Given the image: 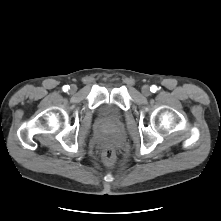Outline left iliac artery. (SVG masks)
I'll return each instance as SVG.
<instances>
[{"instance_id":"left-iliac-artery-1","label":"left iliac artery","mask_w":221,"mask_h":221,"mask_svg":"<svg viewBox=\"0 0 221 221\" xmlns=\"http://www.w3.org/2000/svg\"><path fill=\"white\" fill-rule=\"evenodd\" d=\"M150 91L153 92V93H155V92L157 91V86L152 85V86L150 87Z\"/></svg>"}]
</instances>
